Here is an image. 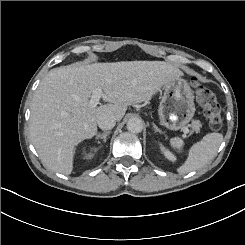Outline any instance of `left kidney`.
I'll return each instance as SVG.
<instances>
[{"instance_id":"1","label":"left kidney","mask_w":245,"mask_h":245,"mask_svg":"<svg viewBox=\"0 0 245 245\" xmlns=\"http://www.w3.org/2000/svg\"><path fill=\"white\" fill-rule=\"evenodd\" d=\"M160 150L164 154V156L170 161H176V157L173 153H171L168 149H166L162 143H159Z\"/></svg>"}]
</instances>
